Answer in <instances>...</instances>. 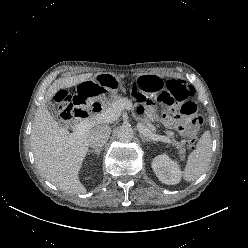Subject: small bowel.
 Masks as SVG:
<instances>
[{
  "instance_id": "1",
  "label": "small bowel",
  "mask_w": 248,
  "mask_h": 248,
  "mask_svg": "<svg viewBox=\"0 0 248 248\" xmlns=\"http://www.w3.org/2000/svg\"><path fill=\"white\" fill-rule=\"evenodd\" d=\"M141 110L144 111L145 107H141ZM164 122L169 127L177 128L182 134H187L190 130V127L186 123L181 122L176 117L167 116L164 118Z\"/></svg>"
}]
</instances>
